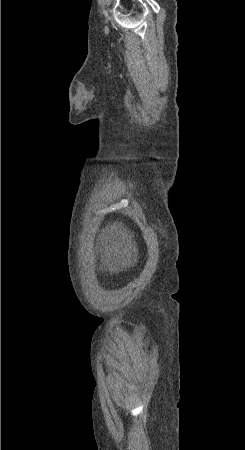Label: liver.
Listing matches in <instances>:
<instances>
[{
	"label": "liver",
	"mask_w": 245,
	"mask_h": 450,
	"mask_svg": "<svg viewBox=\"0 0 245 450\" xmlns=\"http://www.w3.org/2000/svg\"><path fill=\"white\" fill-rule=\"evenodd\" d=\"M112 250H114L116 253H118V249H117V247L116 246H113L112 247ZM107 255L109 256V252H108V250H107Z\"/></svg>",
	"instance_id": "liver-1"
}]
</instances>
